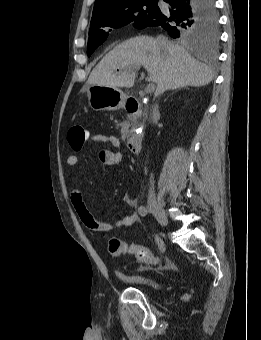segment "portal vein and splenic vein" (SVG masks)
I'll use <instances>...</instances> for the list:
<instances>
[{"mask_svg": "<svg viewBox=\"0 0 261 340\" xmlns=\"http://www.w3.org/2000/svg\"><path fill=\"white\" fill-rule=\"evenodd\" d=\"M154 90H155V85H154L153 83H151V84H149V85L147 86V88H146V93H147V94H151V93L154 92Z\"/></svg>", "mask_w": 261, "mask_h": 340, "instance_id": "1", "label": "portal vein and splenic vein"}]
</instances>
